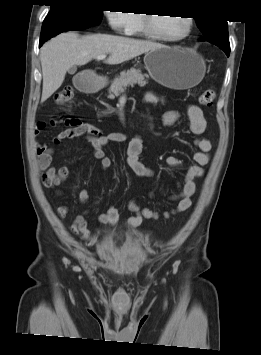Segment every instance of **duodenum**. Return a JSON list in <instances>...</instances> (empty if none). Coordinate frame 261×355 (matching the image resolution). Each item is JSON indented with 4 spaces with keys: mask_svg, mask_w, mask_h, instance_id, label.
Here are the masks:
<instances>
[{
    "mask_svg": "<svg viewBox=\"0 0 261 355\" xmlns=\"http://www.w3.org/2000/svg\"><path fill=\"white\" fill-rule=\"evenodd\" d=\"M77 87L83 91H91L97 88L96 83L88 80V79H82L78 81Z\"/></svg>",
    "mask_w": 261,
    "mask_h": 355,
    "instance_id": "obj_1",
    "label": "duodenum"
}]
</instances>
